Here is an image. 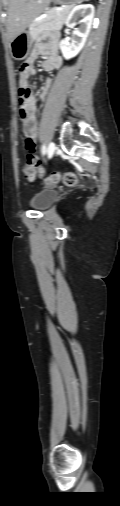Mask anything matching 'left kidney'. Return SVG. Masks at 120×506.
Wrapping results in <instances>:
<instances>
[{
  "label": "left kidney",
  "instance_id": "left-kidney-1",
  "mask_svg": "<svg viewBox=\"0 0 120 506\" xmlns=\"http://www.w3.org/2000/svg\"><path fill=\"white\" fill-rule=\"evenodd\" d=\"M79 17H82V20L80 21L81 24L79 28L73 31L71 43L62 40L59 44L62 55L67 60L75 57L84 47L91 30L94 17V7L90 4L74 7L66 19V26L68 28H73L75 26V21Z\"/></svg>",
  "mask_w": 120,
  "mask_h": 506
}]
</instances>
